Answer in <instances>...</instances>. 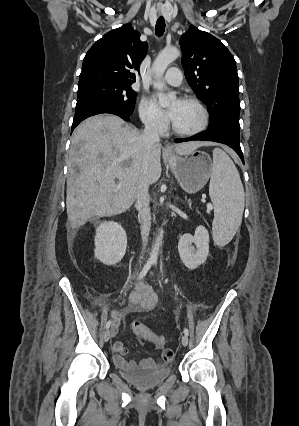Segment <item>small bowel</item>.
Here are the masks:
<instances>
[{"mask_svg":"<svg viewBox=\"0 0 299 426\" xmlns=\"http://www.w3.org/2000/svg\"><path fill=\"white\" fill-rule=\"evenodd\" d=\"M157 293L144 282H139L130 295V303L126 313L144 312L154 309L158 305ZM122 312H111L113 318L112 332L115 335L120 327L121 318L126 314ZM113 361L116 367L123 370H130L138 367L150 368L160 364L168 363L173 356V353L166 349L163 350L158 359L144 358L139 362L127 360V349L121 342H115L113 345Z\"/></svg>","mask_w":299,"mask_h":426,"instance_id":"c3829d8e","label":"small bowel"}]
</instances>
